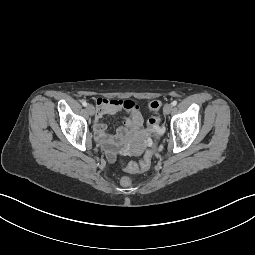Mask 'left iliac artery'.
Returning <instances> with one entry per match:
<instances>
[{
	"instance_id": "44dca946",
	"label": "left iliac artery",
	"mask_w": 255,
	"mask_h": 255,
	"mask_svg": "<svg viewBox=\"0 0 255 255\" xmlns=\"http://www.w3.org/2000/svg\"><path fill=\"white\" fill-rule=\"evenodd\" d=\"M172 105H173V106H176V105H177V101L174 100V101L172 102Z\"/></svg>"
}]
</instances>
